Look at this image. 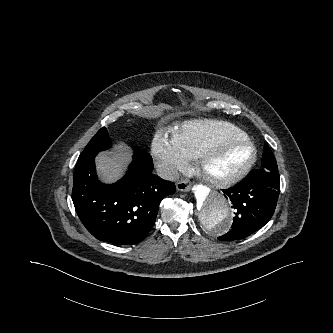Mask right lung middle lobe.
<instances>
[{
	"label": "right lung middle lobe",
	"mask_w": 333,
	"mask_h": 333,
	"mask_svg": "<svg viewBox=\"0 0 333 333\" xmlns=\"http://www.w3.org/2000/svg\"><path fill=\"white\" fill-rule=\"evenodd\" d=\"M111 146V140L105 127L101 128L85 147L83 153H98ZM143 153V152H136Z\"/></svg>",
	"instance_id": "right-lung-middle-lobe-1"
}]
</instances>
